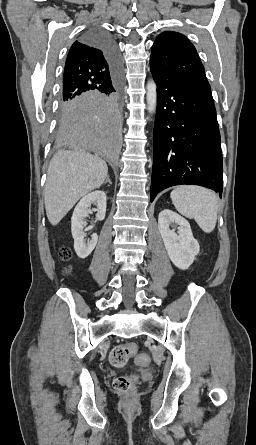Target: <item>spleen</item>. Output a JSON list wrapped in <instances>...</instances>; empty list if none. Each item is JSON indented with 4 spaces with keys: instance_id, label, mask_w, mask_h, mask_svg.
<instances>
[{
    "instance_id": "obj_1",
    "label": "spleen",
    "mask_w": 256,
    "mask_h": 445,
    "mask_svg": "<svg viewBox=\"0 0 256 445\" xmlns=\"http://www.w3.org/2000/svg\"><path fill=\"white\" fill-rule=\"evenodd\" d=\"M176 210L187 218H194L200 228L210 233L217 221V196L206 188L179 186L170 194Z\"/></svg>"
}]
</instances>
